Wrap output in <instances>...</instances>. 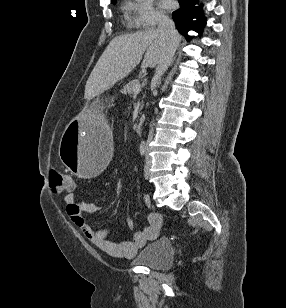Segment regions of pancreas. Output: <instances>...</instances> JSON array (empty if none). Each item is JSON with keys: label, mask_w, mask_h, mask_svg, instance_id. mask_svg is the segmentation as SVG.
Listing matches in <instances>:
<instances>
[{"label": "pancreas", "mask_w": 286, "mask_h": 308, "mask_svg": "<svg viewBox=\"0 0 286 308\" xmlns=\"http://www.w3.org/2000/svg\"><path fill=\"white\" fill-rule=\"evenodd\" d=\"M139 84V80L138 79H134L131 82H129L126 86L123 87V89L121 90V93L123 94H129V95H133L134 93V87Z\"/></svg>", "instance_id": "cf45deb5"}]
</instances>
